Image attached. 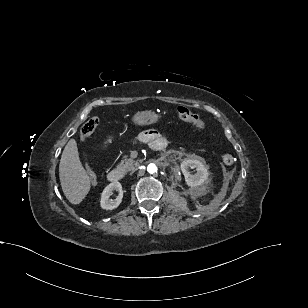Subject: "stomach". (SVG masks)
<instances>
[{"mask_svg":"<svg viewBox=\"0 0 308 308\" xmlns=\"http://www.w3.org/2000/svg\"><path fill=\"white\" fill-rule=\"evenodd\" d=\"M160 115L151 110L138 111L131 119V122L136 126H146L155 124L159 121Z\"/></svg>","mask_w":308,"mask_h":308,"instance_id":"1","label":"stomach"}]
</instances>
